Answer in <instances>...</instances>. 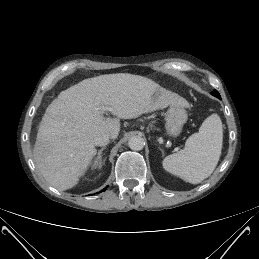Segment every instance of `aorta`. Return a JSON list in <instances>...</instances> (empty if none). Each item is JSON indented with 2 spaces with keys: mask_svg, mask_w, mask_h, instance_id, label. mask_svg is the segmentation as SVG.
Segmentation results:
<instances>
[{
  "mask_svg": "<svg viewBox=\"0 0 259 259\" xmlns=\"http://www.w3.org/2000/svg\"><path fill=\"white\" fill-rule=\"evenodd\" d=\"M128 145L134 151H140L145 146V141L141 136H133L129 139Z\"/></svg>",
  "mask_w": 259,
  "mask_h": 259,
  "instance_id": "1",
  "label": "aorta"
}]
</instances>
